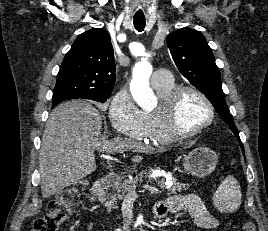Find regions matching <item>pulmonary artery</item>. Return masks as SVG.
Instances as JSON below:
<instances>
[{"mask_svg":"<svg viewBox=\"0 0 268 231\" xmlns=\"http://www.w3.org/2000/svg\"><path fill=\"white\" fill-rule=\"evenodd\" d=\"M170 72L167 69H159L152 74L151 84L152 86L160 85L171 81Z\"/></svg>","mask_w":268,"mask_h":231,"instance_id":"e3ab8cb5","label":"pulmonary artery"}]
</instances>
